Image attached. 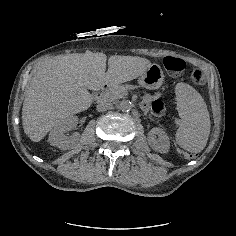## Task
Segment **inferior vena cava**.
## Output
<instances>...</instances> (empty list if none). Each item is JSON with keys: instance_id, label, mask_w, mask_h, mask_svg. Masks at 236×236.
<instances>
[{"instance_id": "1", "label": "inferior vena cava", "mask_w": 236, "mask_h": 236, "mask_svg": "<svg viewBox=\"0 0 236 236\" xmlns=\"http://www.w3.org/2000/svg\"><path fill=\"white\" fill-rule=\"evenodd\" d=\"M111 106H112V103L101 101V102H98L96 109L98 112H103V111L108 110Z\"/></svg>"}]
</instances>
